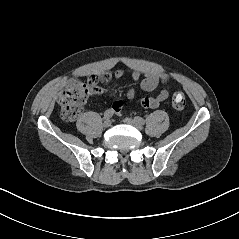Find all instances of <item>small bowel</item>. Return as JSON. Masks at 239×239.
Returning <instances> with one entry per match:
<instances>
[{
	"mask_svg": "<svg viewBox=\"0 0 239 239\" xmlns=\"http://www.w3.org/2000/svg\"><path fill=\"white\" fill-rule=\"evenodd\" d=\"M124 76V71L119 69L116 70L113 74L106 72L101 74L100 76L93 75L91 77H95L97 80V84H95L91 89L92 95H101L106 91L98 86L99 82H108L114 77L115 79H122ZM131 78L134 81H140L136 87L130 88L127 93L126 97L127 100L130 102H134L137 100V92L138 91H153L159 86H164V88L159 92V94L155 97L149 98H142L139 100L142 107L147 109H156L160 106V104L165 101L170 95V87L167 85L169 81V77L165 73H156V72H149L142 74L139 71H133L131 73ZM112 94V92H111ZM124 108L123 101H115L112 105V110L114 113L119 114Z\"/></svg>",
	"mask_w": 239,
	"mask_h": 239,
	"instance_id": "obj_1",
	"label": "small bowel"
}]
</instances>
